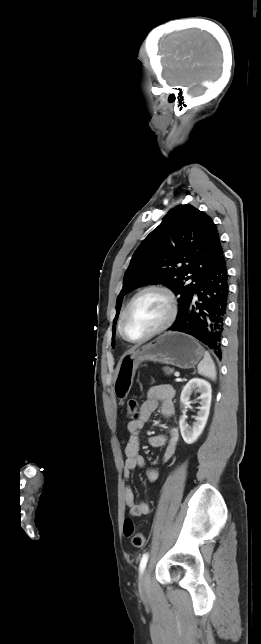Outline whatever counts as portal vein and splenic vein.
<instances>
[{
    "mask_svg": "<svg viewBox=\"0 0 261 644\" xmlns=\"http://www.w3.org/2000/svg\"><path fill=\"white\" fill-rule=\"evenodd\" d=\"M174 375H175L176 377H179V376H180V373H179V372H175V374H174Z\"/></svg>",
    "mask_w": 261,
    "mask_h": 644,
    "instance_id": "portal-vein-and-splenic-vein-1",
    "label": "portal vein and splenic vein"
}]
</instances>
